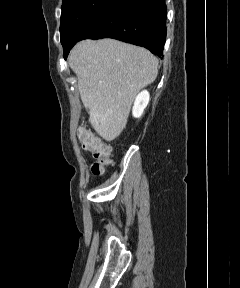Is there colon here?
<instances>
[{"label":"colon","instance_id":"obj_1","mask_svg":"<svg viewBox=\"0 0 240 288\" xmlns=\"http://www.w3.org/2000/svg\"><path fill=\"white\" fill-rule=\"evenodd\" d=\"M78 138L83 148L90 151L96 159L91 167L93 175H102L112 163L110 146L84 129L79 130Z\"/></svg>","mask_w":240,"mask_h":288}]
</instances>
